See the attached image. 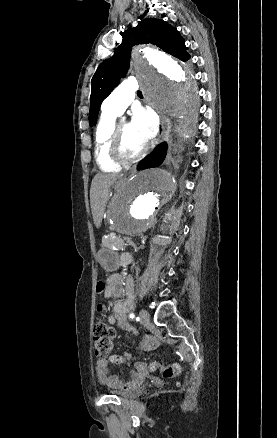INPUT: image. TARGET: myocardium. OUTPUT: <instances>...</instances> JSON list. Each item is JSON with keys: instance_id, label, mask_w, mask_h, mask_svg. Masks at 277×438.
I'll return each mask as SVG.
<instances>
[{"instance_id": "1", "label": "myocardium", "mask_w": 277, "mask_h": 438, "mask_svg": "<svg viewBox=\"0 0 277 438\" xmlns=\"http://www.w3.org/2000/svg\"><path fill=\"white\" fill-rule=\"evenodd\" d=\"M124 122L116 124L110 134L109 139V153L111 159L120 165H129L137 162L145 153L146 149H143L138 155L130 157L127 156L123 149V141L121 135V126Z\"/></svg>"}]
</instances>
